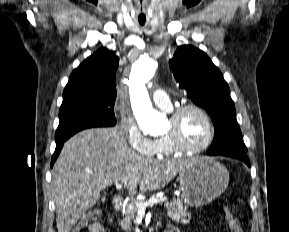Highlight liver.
Instances as JSON below:
<instances>
[{"mask_svg": "<svg viewBox=\"0 0 289 232\" xmlns=\"http://www.w3.org/2000/svg\"><path fill=\"white\" fill-rule=\"evenodd\" d=\"M190 159H153L133 151L119 128H93L67 140L52 170L58 232H70L100 192L116 183L155 191L170 183Z\"/></svg>", "mask_w": 289, "mask_h": 232, "instance_id": "liver-1", "label": "liver"}]
</instances>
